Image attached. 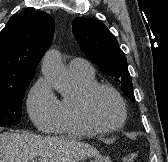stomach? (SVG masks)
<instances>
[{
    "instance_id": "1",
    "label": "stomach",
    "mask_w": 168,
    "mask_h": 162,
    "mask_svg": "<svg viewBox=\"0 0 168 162\" xmlns=\"http://www.w3.org/2000/svg\"><path fill=\"white\" fill-rule=\"evenodd\" d=\"M90 162H112L109 157L96 156Z\"/></svg>"
}]
</instances>
